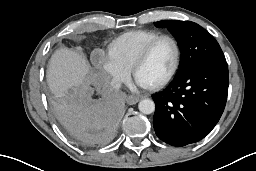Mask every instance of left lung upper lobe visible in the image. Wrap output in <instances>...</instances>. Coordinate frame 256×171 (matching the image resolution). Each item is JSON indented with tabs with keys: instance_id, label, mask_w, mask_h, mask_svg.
Segmentation results:
<instances>
[{
	"instance_id": "obj_1",
	"label": "left lung upper lobe",
	"mask_w": 256,
	"mask_h": 171,
	"mask_svg": "<svg viewBox=\"0 0 256 171\" xmlns=\"http://www.w3.org/2000/svg\"><path fill=\"white\" fill-rule=\"evenodd\" d=\"M156 27H167L178 42L181 62L177 74L197 64L226 61L214 37L200 25L190 21L166 20L154 22Z\"/></svg>"
}]
</instances>
